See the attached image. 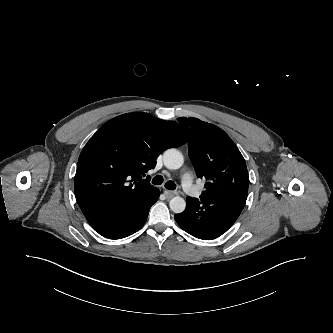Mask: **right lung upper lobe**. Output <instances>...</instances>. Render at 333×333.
<instances>
[{"instance_id":"cb5924a9","label":"right lung upper lobe","mask_w":333,"mask_h":333,"mask_svg":"<svg viewBox=\"0 0 333 333\" xmlns=\"http://www.w3.org/2000/svg\"><path fill=\"white\" fill-rule=\"evenodd\" d=\"M187 142L173 121L136 112L106 122L83 148L75 175V196L83 213L135 206L156 187L142 178L164 150Z\"/></svg>"}]
</instances>
